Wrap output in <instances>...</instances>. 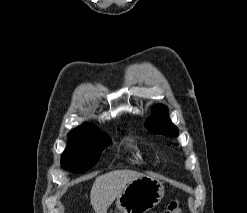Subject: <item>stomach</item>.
<instances>
[{"label": "stomach", "instance_id": "0dacf381", "mask_svg": "<svg viewBox=\"0 0 247 213\" xmlns=\"http://www.w3.org/2000/svg\"><path fill=\"white\" fill-rule=\"evenodd\" d=\"M163 196V183L156 178L143 176L127 184L115 204L120 213H147L160 203Z\"/></svg>", "mask_w": 247, "mask_h": 213}]
</instances>
